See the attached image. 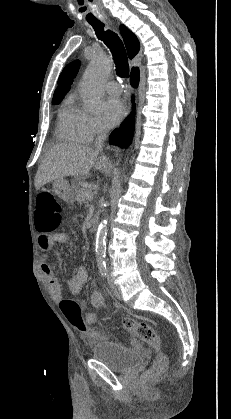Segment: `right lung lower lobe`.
<instances>
[{
	"label": "right lung lower lobe",
	"mask_w": 231,
	"mask_h": 419,
	"mask_svg": "<svg viewBox=\"0 0 231 419\" xmlns=\"http://www.w3.org/2000/svg\"><path fill=\"white\" fill-rule=\"evenodd\" d=\"M131 84L133 87H137L139 84V68H135L131 71ZM134 98H132V101ZM134 104V102H133ZM134 112L131 113L129 117L122 123L120 128L115 129L109 138L110 144H118L121 146H128L130 145L133 133H134Z\"/></svg>",
	"instance_id": "right-lung-lower-lobe-1"
}]
</instances>
